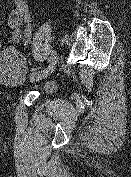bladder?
<instances>
[{
    "instance_id": "31cf9c89",
    "label": "bladder",
    "mask_w": 131,
    "mask_h": 177,
    "mask_svg": "<svg viewBox=\"0 0 131 177\" xmlns=\"http://www.w3.org/2000/svg\"><path fill=\"white\" fill-rule=\"evenodd\" d=\"M28 70L22 56L14 49L0 51V76L4 80L7 89L19 92L29 87H36V91L41 95L53 94L56 84L53 80L43 81L31 80L29 85H23V80L27 76Z\"/></svg>"
}]
</instances>
